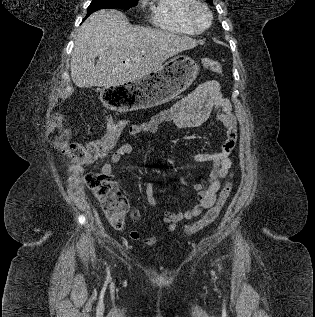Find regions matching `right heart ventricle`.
<instances>
[{"label": "right heart ventricle", "mask_w": 315, "mask_h": 317, "mask_svg": "<svg viewBox=\"0 0 315 317\" xmlns=\"http://www.w3.org/2000/svg\"><path fill=\"white\" fill-rule=\"evenodd\" d=\"M193 0H151L149 3L151 23L162 30L173 33L196 35L186 19V10Z\"/></svg>", "instance_id": "1"}]
</instances>
